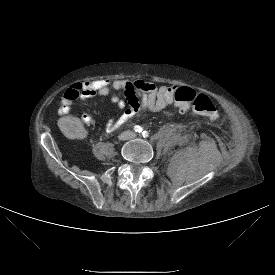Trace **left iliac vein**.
Instances as JSON below:
<instances>
[{"mask_svg":"<svg viewBox=\"0 0 275 275\" xmlns=\"http://www.w3.org/2000/svg\"><path fill=\"white\" fill-rule=\"evenodd\" d=\"M135 137H136V135H135V134H133V135H132V138H135Z\"/></svg>","mask_w":275,"mask_h":275,"instance_id":"obj_1","label":"left iliac vein"}]
</instances>
